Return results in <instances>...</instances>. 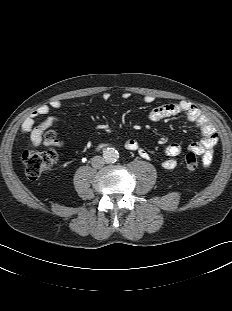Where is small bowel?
Instances as JSON below:
<instances>
[{
  "mask_svg": "<svg viewBox=\"0 0 232 311\" xmlns=\"http://www.w3.org/2000/svg\"><path fill=\"white\" fill-rule=\"evenodd\" d=\"M129 93H124L123 98L128 99ZM104 100L110 98V94L105 92L102 95ZM145 103H152L154 97L152 95H145L143 97ZM63 106L61 99H52L49 103L41 105L37 110L27 116L22 122L21 130L24 134L29 136V143L33 147L45 145L47 147L61 148L65 145V141L58 138H44L45 130L55 123H58L61 119L57 115H52V110H59ZM185 115L187 120L194 123L202 134L201 140L194 142L188 146L190 151L195 152L202 157L203 164L209 167L213 162V148L218 142V132L215 126L205 116L201 110L190 105L187 102L168 103L153 108L148 118L150 121L156 122L167 117ZM44 116V120L41 124L36 125L38 117ZM125 147L131 151H137L143 159H149V153L141 147L140 143L135 139H128L125 142ZM183 148L178 143H171L166 146L165 154L166 159L161 161V166L166 170H172L177 166L175 157L180 155Z\"/></svg>",
  "mask_w": 232,
  "mask_h": 311,
  "instance_id": "1",
  "label": "small bowel"
}]
</instances>
